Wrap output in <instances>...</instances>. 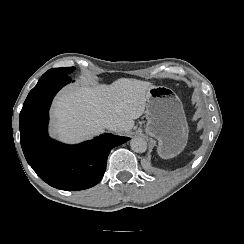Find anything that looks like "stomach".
Returning <instances> with one entry per match:
<instances>
[{"label":"stomach","mask_w":244,"mask_h":244,"mask_svg":"<svg viewBox=\"0 0 244 244\" xmlns=\"http://www.w3.org/2000/svg\"><path fill=\"white\" fill-rule=\"evenodd\" d=\"M146 133L158 140L157 152L163 159L180 154L188 141V123L182 102L166 86H152L146 91Z\"/></svg>","instance_id":"obj_1"}]
</instances>
